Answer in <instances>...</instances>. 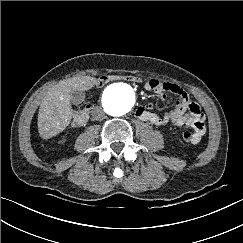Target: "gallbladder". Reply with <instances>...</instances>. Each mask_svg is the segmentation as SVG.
<instances>
[{"mask_svg": "<svg viewBox=\"0 0 243 243\" xmlns=\"http://www.w3.org/2000/svg\"><path fill=\"white\" fill-rule=\"evenodd\" d=\"M85 98V95L82 91H73L71 92V102L73 104H80Z\"/></svg>", "mask_w": 243, "mask_h": 243, "instance_id": "obj_1", "label": "gallbladder"}]
</instances>
